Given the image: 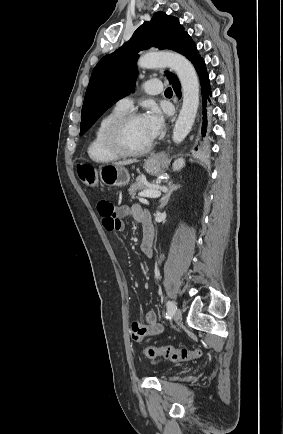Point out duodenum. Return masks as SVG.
<instances>
[{"label": "duodenum", "instance_id": "410a0bca", "mask_svg": "<svg viewBox=\"0 0 283 434\" xmlns=\"http://www.w3.org/2000/svg\"><path fill=\"white\" fill-rule=\"evenodd\" d=\"M143 229H144V241L152 242V240H153L152 227H150L146 224H143Z\"/></svg>", "mask_w": 283, "mask_h": 434}]
</instances>
